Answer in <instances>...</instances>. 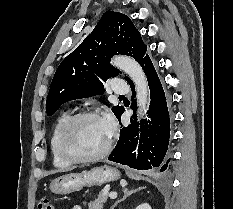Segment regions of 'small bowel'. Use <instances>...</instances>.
<instances>
[{"mask_svg": "<svg viewBox=\"0 0 233 209\" xmlns=\"http://www.w3.org/2000/svg\"><path fill=\"white\" fill-rule=\"evenodd\" d=\"M71 209H84V208L79 206V205H76V206L72 207Z\"/></svg>", "mask_w": 233, "mask_h": 209, "instance_id": "obj_1", "label": "small bowel"}]
</instances>
